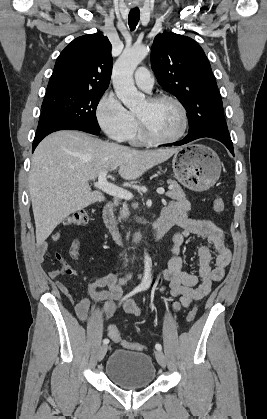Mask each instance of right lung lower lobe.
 I'll return each instance as SVG.
<instances>
[{
    "instance_id": "1",
    "label": "right lung lower lobe",
    "mask_w": 267,
    "mask_h": 419,
    "mask_svg": "<svg viewBox=\"0 0 267 419\" xmlns=\"http://www.w3.org/2000/svg\"><path fill=\"white\" fill-rule=\"evenodd\" d=\"M59 130H80L90 134L100 133V130H95L90 127L82 126L80 124L71 122L66 118L48 112H42L33 141L32 151H34L36 146L45 136Z\"/></svg>"
}]
</instances>
